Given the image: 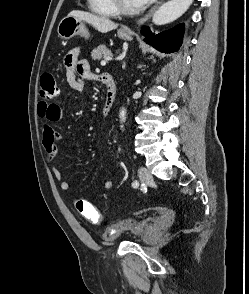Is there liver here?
I'll use <instances>...</instances> for the list:
<instances>
[{
	"label": "liver",
	"mask_w": 249,
	"mask_h": 294,
	"mask_svg": "<svg viewBox=\"0 0 249 294\" xmlns=\"http://www.w3.org/2000/svg\"><path fill=\"white\" fill-rule=\"evenodd\" d=\"M70 16L76 17L82 21L92 25L97 31L101 33H107L118 27L117 23H114L110 19L98 15H94L88 12L73 10L69 13Z\"/></svg>",
	"instance_id": "liver-1"
}]
</instances>
